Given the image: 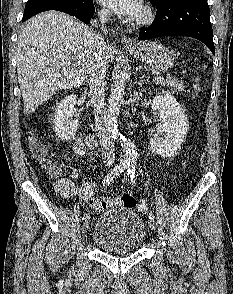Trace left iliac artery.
<instances>
[{
  "mask_svg": "<svg viewBox=\"0 0 233 294\" xmlns=\"http://www.w3.org/2000/svg\"><path fill=\"white\" fill-rule=\"evenodd\" d=\"M128 176L130 177V180H131V183L134 185L136 182H135V164L134 163H131V164H128ZM154 214L153 213H150L149 214V218L151 219H154Z\"/></svg>",
  "mask_w": 233,
  "mask_h": 294,
  "instance_id": "left-iliac-artery-1",
  "label": "left iliac artery"
}]
</instances>
